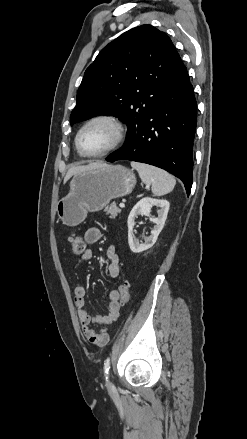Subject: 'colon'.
<instances>
[{
	"label": "colon",
	"instance_id": "1",
	"mask_svg": "<svg viewBox=\"0 0 247 439\" xmlns=\"http://www.w3.org/2000/svg\"><path fill=\"white\" fill-rule=\"evenodd\" d=\"M72 251L76 255H81L85 251V241L81 236H73L71 239ZM119 304L125 305L129 300L130 284L125 281L119 285Z\"/></svg>",
	"mask_w": 247,
	"mask_h": 439
}]
</instances>
